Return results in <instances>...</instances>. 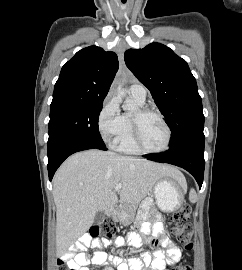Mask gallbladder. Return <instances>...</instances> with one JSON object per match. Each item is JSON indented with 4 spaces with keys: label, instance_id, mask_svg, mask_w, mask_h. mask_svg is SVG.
Listing matches in <instances>:
<instances>
[{
    "label": "gallbladder",
    "instance_id": "bac80fb5",
    "mask_svg": "<svg viewBox=\"0 0 242 270\" xmlns=\"http://www.w3.org/2000/svg\"><path fill=\"white\" fill-rule=\"evenodd\" d=\"M105 218V211H98L94 217V224H99Z\"/></svg>",
    "mask_w": 242,
    "mask_h": 270
}]
</instances>
